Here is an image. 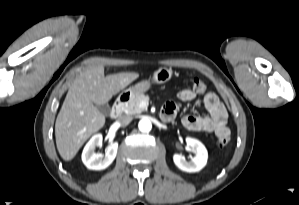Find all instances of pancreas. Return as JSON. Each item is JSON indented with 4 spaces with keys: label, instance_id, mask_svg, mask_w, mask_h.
<instances>
[{
    "label": "pancreas",
    "instance_id": "obj_1",
    "mask_svg": "<svg viewBox=\"0 0 299 205\" xmlns=\"http://www.w3.org/2000/svg\"><path fill=\"white\" fill-rule=\"evenodd\" d=\"M141 102H149V97L139 94L124 106V113L130 116L142 113L146 108L140 107Z\"/></svg>",
    "mask_w": 299,
    "mask_h": 205
}]
</instances>
